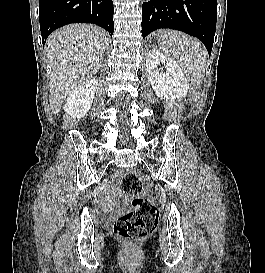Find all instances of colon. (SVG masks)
I'll use <instances>...</instances> for the list:
<instances>
[{
    "mask_svg": "<svg viewBox=\"0 0 265 273\" xmlns=\"http://www.w3.org/2000/svg\"><path fill=\"white\" fill-rule=\"evenodd\" d=\"M123 192L132 199V209L114 224L113 232L121 240L135 242L152 235L159 223V210L152 200L140 196L143 189L141 175L128 171L121 181Z\"/></svg>",
    "mask_w": 265,
    "mask_h": 273,
    "instance_id": "obj_1",
    "label": "colon"
}]
</instances>
